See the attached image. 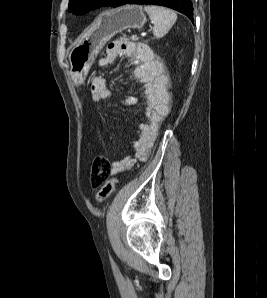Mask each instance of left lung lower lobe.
Wrapping results in <instances>:
<instances>
[{
    "mask_svg": "<svg viewBox=\"0 0 267 298\" xmlns=\"http://www.w3.org/2000/svg\"><path fill=\"white\" fill-rule=\"evenodd\" d=\"M125 4L162 5L185 14L189 19L193 16L191 0H121L118 6Z\"/></svg>",
    "mask_w": 267,
    "mask_h": 298,
    "instance_id": "0a47b994",
    "label": "left lung lower lobe"
}]
</instances>
